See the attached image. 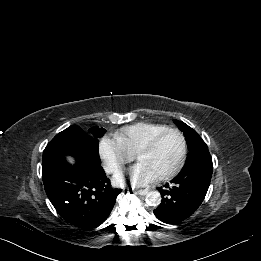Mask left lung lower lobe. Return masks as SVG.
Segmentation results:
<instances>
[{
  "instance_id": "obj_1",
  "label": "left lung lower lobe",
  "mask_w": 261,
  "mask_h": 261,
  "mask_svg": "<svg viewBox=\"0 0 261 261\" xmlns=\"http://www.w3.org/2000/svg\"><path fill=\"white\" fill-rule=\"evenodd\" d=\"M212 171V158L208 149L196 154L171 181V186L166 184L158 188L162 202L154 210L155 216L168 224L190 217L204 200Z\"/></svg>"
}]
</instances>
